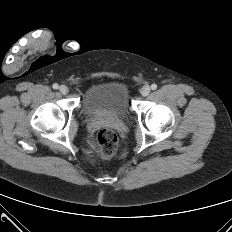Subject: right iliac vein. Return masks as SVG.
<instances>
[{"label": "right iliac vein", "mask_w": 232, "mask_h": 232, "mask_svg": "<svg viewBox=\"0 0 232 232\" xmlns=\"http://www.w3.org/2000/svg\"><path fill=\"white\" fill-rule=\"evenodd\" d=\"M59 91L62 93V94H67L69 92V88L66 86V85H61L59 87Z\"/></svg>", "instance_id": "63e3f726"}]
</instances>
